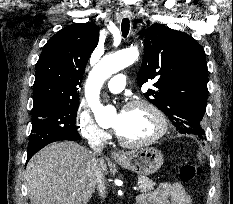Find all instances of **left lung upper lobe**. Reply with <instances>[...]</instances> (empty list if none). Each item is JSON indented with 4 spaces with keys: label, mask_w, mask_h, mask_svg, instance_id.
<instances>
[{
    "label": "left lung upper lobe",
    "mask_w": 233,
    "mask_h": 204,
    "mask_svg": "<svg viewBox=\"0 0 233 204\" xmlns=\"http://www.w3.org/2000/svg\"><path fill=\"white\" fill-rule=\"evenodd\" d=\"M205 52L191 36L155 23L145 30L144 59L137 75L139 87L154 80L155 90L144 96L182 134L205 138L201 126L208 89Z\"/></svg>",
    "instance_id": "obj_1"
}]
</instances>
